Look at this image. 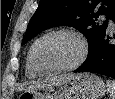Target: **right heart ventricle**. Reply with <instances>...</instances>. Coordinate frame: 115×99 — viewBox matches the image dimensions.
Segmentation results:
<instances>
[{"label":"right heart ventricle","instance_id":"e07e8e85","mask_svg":"<svg viewBox=\"0 0 115 99\" xmlns=\"http://www.w3.org/2000/svg\"><path fill=\"white\" fill-rule=\"evenodd\" d=\"M25 73L28 78H36L39 74L34 70L31 60H30V51L27 55L26 64H25Z\"/></svg>","mask_w":115,"mask_h":99}]
</instances>
